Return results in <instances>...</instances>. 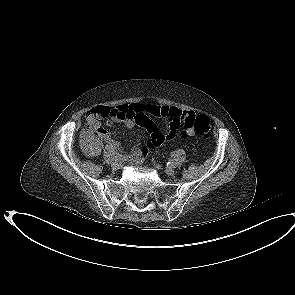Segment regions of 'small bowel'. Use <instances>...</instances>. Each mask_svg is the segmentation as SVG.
<instances>
[{"instance_id": "c3829d8e", "label": "small bowel", "mask_w": 295, "mask_h": 295, "mask_svg": "<svg viewBox=\"0 0 295 295\" xmlns=\"http://www.w3.org/2000/svg\"><path fill=\"white\" fill-rule=\"evenodd\" d=\"M194 115L193 112L182 111L172 106L142 103L94 108L86 116L87 126L82 134L84 139L93 135L90 146L85 149V152L89 156H97L102 150L103 143H107L110 149L122 152L121 145L113 141L110 134L101 127L100 119H106L105 123L108 126L112 125L114 122H123L127 128L140 125L146 129L151 136L149 146L159 147L166 142L172 141L178 134H182L186 137L191 136L192 128L186 127L184 120ZM150 116L165 119L167 121L168 131L166 133L162 132ZM182 124L184 125L183 130L181 129ZM144 151L143 149L134 148L131 153L124 156V158L138 161L142 158Z\"/></svg>"}]
</instances>
